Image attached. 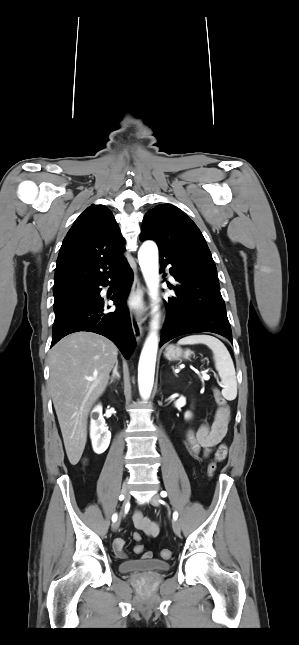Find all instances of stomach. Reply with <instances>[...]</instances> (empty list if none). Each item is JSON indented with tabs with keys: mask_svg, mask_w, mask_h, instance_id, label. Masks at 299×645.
<instances>
[{
	"mask_svg": "<svg viewBox=\"0 0 299 645\" xmlns=\"http://www.w3.org/2000/svg\"><path fill=\"white\" fill-rule=\"evenodd\" d=\"M190 355H191V351L189 350L183 351L181 348L176 347L174 345H169L166 348L164 353L165 358L168 359L169 361H176V360H180L181 358L187 359L190 357Z\"/></svg>",
	"mask_w": 299,
	"mask_h": 645,
	"instance_id": "0dacf381",
	"label": "stomach"
}]
</instances>
